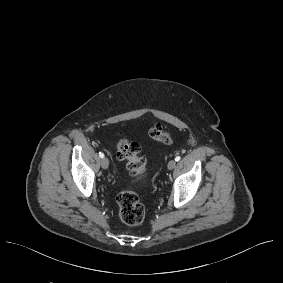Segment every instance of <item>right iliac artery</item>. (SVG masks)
<instances>
[{
  "mask_svg": "<svg viewBox=\"0 0 283 283\" xmlns=\"http://www.w3.org/2000/svg\"><path fill=\"white\" fill-rule=\"evenodd\" d=\"M99 156H100V158H103L104 154L102 152H99Z\"/></svg>",
  "mask_w": 283,
  "mask_h": 283,
  "instance_id": "right-iliac-artery-1",
  "label": "right iliac artery"
}]
</instances>
